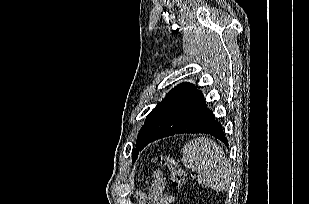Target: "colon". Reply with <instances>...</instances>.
Wrapping results in <instances>:
<instances>
[{
    "label": "colon",
    "instance_id": "obj_1",
    "mask_svg": "<svg viewBox=\"0 0 309 204\" xmlns=\"http://www.w3.org/2000/svg\"><path fill=\"white\" fill-rule=\"evenodd\" d=\"M157 161L168 170L172 186L174 188L182 187L185 182L186 174L177 160L170 155H161L157 158Z\"/></svg>",
    "mask_w": 309,
    "mask_h": 204
}]
</instances>
